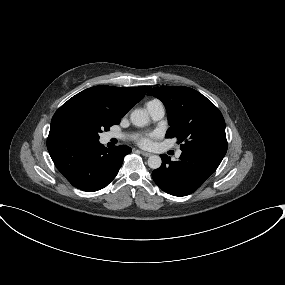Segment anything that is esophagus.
<instances>
[{
    "instance_id": "34e87169",
    "label": "esophagus",
    "mask_w": 285,
    "mask_h": 285,
    "mask_svg": "<svg viewBox=\"0 0 285 285\" xmlns=\"http://www.w3.org/2000/svg\"><path fill=\"white\" fill-rule=\"evenodd\" d=\"M140 153H141L143 156H145V157H149V156L152 155L151 153L146 152V151H140Z\"/></svg>"
}]
</instances>
